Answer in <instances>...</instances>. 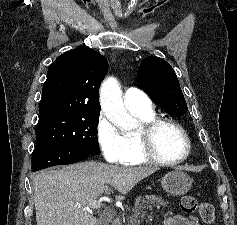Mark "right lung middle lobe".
Masks as SVG:
<instances>
[{
	"label": "right lung middle lobe",
	"instance_id": "1",
	"mask_svg": "<svg viewBox=\"0 0 237 225\" xmlns=\"http://www.w3.org/2000/svg\"><path fill=\"white\" fill-rule=\"evenodd\" d=\"M99 114L59 115L37 124L36 144H54L99 155L97 125Z\"/></svg>",
	"mask_w": 237,
	"mask_h": 225
}]
</instances>
